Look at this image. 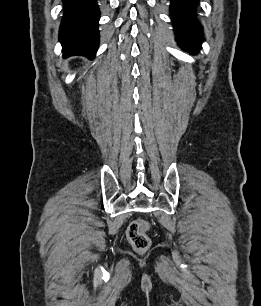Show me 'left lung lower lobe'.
<instances>
[{
    "mask_svg": "<svg viewBox=\"0 0 261 306\" xmlns=\"http://www.w3.org/2000/svg\"><path fill=\"white\" fill-rule=\"evenodd\" d=\"M199 0H171L170 11L172 14L174 30L177 41L189 53H197L202 44L201 28L196 23L195 6Z\"/></svg>",
    "mask_w": 261,
    "mask_h": 306,
    "instance_id": "left-lung-lower-lobe-1",
    "label": "left lung lower lobe"
}]
</instances>
